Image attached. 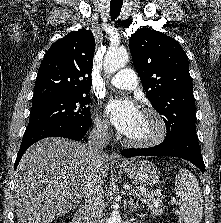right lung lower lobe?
I'll use <instances>...</instances> for the list:
<instances>
[{
  "label": "right lung lower lobe",
  "instance_id": "right-lung-lower-lobe-1",
  "mask_svg": "<svg viewBox=\"0 0 221 223\" xmlns=\"http://www.w3.org/2000/svg\"><path fill=\"white\" fill-rule=\"evenodd\" d=\"M90 125H73L65 122H51L26 129L15 161V169L24 152L35 142L46 137H65L76 141L81 140Z\"/></svg>",
  "mask_w": 221,
  "mask_h": 223
}]
</instances>
